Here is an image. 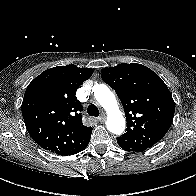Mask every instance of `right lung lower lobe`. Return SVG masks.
Listing matches in <instances>:
<instances>
[{
    "instance_id": "1",
    "label": "right lung lower lobe",
    "mask_w": 196,
    "mask_h": 196,
    "mask_svg": "<svg viewBox=\"0 0 196 196\" xmlns=\"http://www.w3.org/2000/svg\"><path fill=\"white\" fill-rule=\"evenodd\" d=\"M88 143H89V140L86 141V142H85L82 146H80L79 148H77V149L73 150L72 152H70L68 155H73V154H76V153H79V152L83 151V150L87 147Z\"/></svg>"
}]
</instances>
